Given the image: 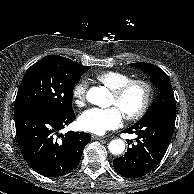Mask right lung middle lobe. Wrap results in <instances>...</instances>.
I'll return each instance as SVG.
<instances>
[{
	"mask_svg": "<svg viewBox=\"0 0 194 194\" xmlns=\"http://www.w3.org/2000/svg\"><path fill=\"white\" fill-rule=\"evenodd\" d=\"M89 68L58 55L42 58L26 71L14 111L27 107H40L56 114L73 111V88Z\"/></svg>",
	"mask_w": 194,
	"mask_h": 194,
	"instance_id": "obj_1",
	"label": "right lung middle lobe"
}]
</instances>
